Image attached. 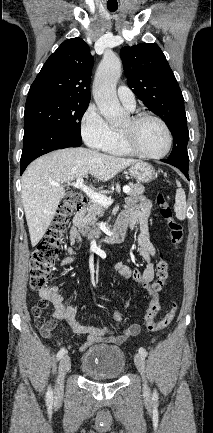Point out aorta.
<instances>
[{
  "label": "aorta",
  "mask_w": 213,
  "mask_h": 433,
  "mask_svg": "<svg viewBox=\"0 0 213 433\" xmlns=\"http://www.w3.org/2000/svg\"><path fill=\"white\" fill-rule=\"evenodd\" d=\"M121 60L113 53H105L97 69L93 96L100 113L113 127L119 126L124 110L116 95V84L121 76Z\"/></svg>",
  "instance_id": "762f6f07"
}]
</instances>
